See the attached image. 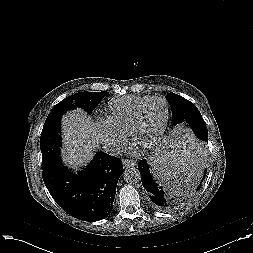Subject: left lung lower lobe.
I'll return each mask as SVG.
<instances>
[{
	"label": "left lung lower lobe",
	"mask_w": 253,
	"mask_h": 253,
	"mask_svg": "<svg viewBox=\"0 0 253 253\" xmlns=\"http://www.w3.org/2000/svg\"><path fill=\"white\" fill-rule=\"evenodd\" d=\"M190 150L193 154V157L200 159L202 164L204 165L205 159H204L203 149L200 148V145L193 144ZM150 166L152 167V164L151 163L148 164L146 159H143L138 163V170L141 175L142 185L147 191L148 199L151 206L158 210L166 211V210L175 209L179 207L180 205H182L186 201V197L182 195V192H178L176 194L169 192L161 182L157 181L153 177V175L150 172ZM200 170L192 178L191 180L193 181L192 185H190L188 190H184V192L187 195L189 191L191 193V192H195L199 190L200 186H198V184L200 180L202 179V175L203 177H205L206 172H207V170L205 169L201 175ZM201 183H202V180H201Z\"/></svg>",
	"instance_id": "1"
}]
</instances>
